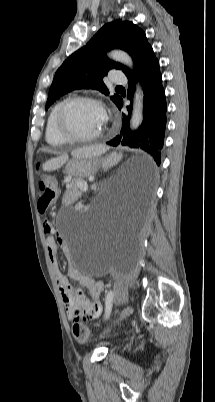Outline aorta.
<instances>
[{
	"mask_svg": "<svg viewBox=\"0 0 215 402\" xmlns=\"http://www.w3.org/2000/svg\"><path fill=\"white\" fill-rule=\"evenodd\" d=\"M109 57L117 62L123 63L129 67H132V59L131 57L121 50H113L109 53ZM143 121V91L140 86H137L133 111L130 120L131 129H137Z\"/></svg>",
	"mask_w": 215,
	"mask_h": 402,
	"instance_id": "obj_1",
	"label": "aorta"
}]
</instances>
